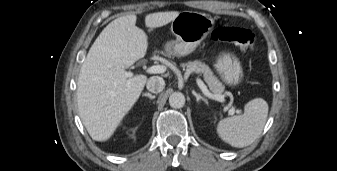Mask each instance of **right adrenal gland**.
Segmentation results:
<instances>
[{"label": "right adrenal gland", "mask_w": 337, "mask_h": 171, "mask_svg": "<svg viewBox=\"0 0 337 171\" xmlns=\"http://www.w3.org/2000/svg\"><path fill=\"white\" fill-rule=\"evenodd\" d=\"M143 96H146V97H148V98H150V99H155V98H156L155 95H152V94H150V93H144Z\"/></svg>", "instance_id": "right-adrenal-gland-1"}]
</instances>
